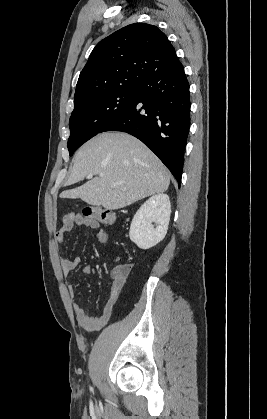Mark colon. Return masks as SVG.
I'll return each mask as SVG.
<instances>
[{
    "mask_svg": "<svg viewBox=\"0 0 267 419\" xmlns=\"http://www.w3.org/2000/svg\"><path fill=\"white\" fill-rule=\"evenodd\" d=\"M82 215L86 218L92 219L99 224L103 225H112L117 220V215L108 209L102 207H88L85 208L82 212ZM129 270L127 265H120L115 268V271L118 274H124Z\"/></svg>",
    "mask_w": 267,
    "mask_h": 419,
    "instance_id": "obj_1",
    "label": "colon"
}]
</instances>
